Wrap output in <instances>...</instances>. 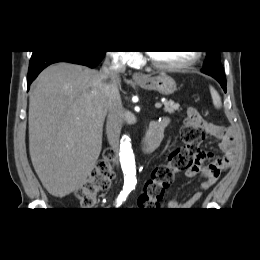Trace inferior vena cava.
Here are the masks:
<instances>
[{
    "label": "inferior vena cava",
    "mask_w": 260,
    "mask_h": 260,
    "mask_svg": "<svg viewBox=\"0 0 260 260\" xmlns=\"http://www.w3.org/2000/svg\"><path fill=\"white\" fill-rule=\"evenodd\" d=\"M126 60L119 53L110 51L106 55V59L100 70V92L104 97L107 110L108 119L106 124V133L109 144L114 147L119 139L122 120V102L119 93L120 73L126 69Z\"/></svg>",
    "instance_id": "1"
}]
</instances>
